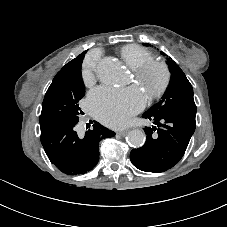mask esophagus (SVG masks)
Returning a JSON list of instances; mask_svg holds the SVG:
<instances>
[{"mask_svg": "<svg viewBox=\"0 0 227 227\" xmlns=\"http://www.w3.org/2000/svg\"><path fill=\"white\" fill-rule=\"evenodd\" d=\"M120 136H124L127 133V130H120L116 132Z\"/></svg>", "mask_w": 227, "mask_h": 227, "instance_id": "1", "label": "esophagus"}]
</instances>
